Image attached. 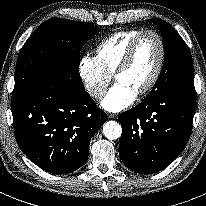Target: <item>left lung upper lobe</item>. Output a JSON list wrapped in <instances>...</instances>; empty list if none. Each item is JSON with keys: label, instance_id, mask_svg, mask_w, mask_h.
Returning a JSON list of instances; mask_svg holds the SVG:
<instances>
[{"label": "left lung upper lobe", "instance_id": "1", "mask_svg": "<svg viewBox=\"0 0 206 206\" xmlns=\"http://www.w3.org/2000/svg\"><path fill=\"white\" fill-rule=\"evenodd\" d=\"M161 30L165 61L162 72L145 101L178 89H194V68L188 46L167 22L150 19Z\"/></svg>", "mask_w": 206, "mask_h": 206}]
</instances>
